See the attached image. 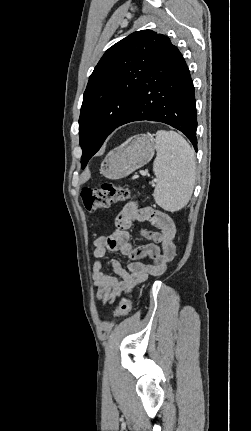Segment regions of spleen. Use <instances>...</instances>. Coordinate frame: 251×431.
<instances>
[{
  "instance_id": "obj_1",
  "label": "spleen",
  "mask_w": 251,
  "mask_h": 431,
  "mask_svg": "<svg viewBox=\"0 0 251 431\" xmlns=\"http://www.w3.org/2000/svg\"><path fill=\"white\" fill-rule=\"evenodd\" d=\"M157 155L153 171L157 184L155 202L164 210L175 212L189 202L194 190L196 162L193 149L174 131L156 132Z\"/></svg>"
}]
</instances>
